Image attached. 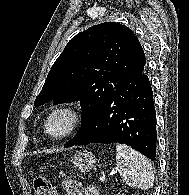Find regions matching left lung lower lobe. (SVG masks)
<instances>
[{
  "label": "left lung lower lobe",
  "mask_w": 189,
  "mask_h": 195,
  "mask_svg": "<svg viewBox=\"0 0 189 195\" xmlns=\"http://www.w3.org/2000/svg\"><path fill=\"white\" fill-rule=\"evenodd\" d=\"M156 112L153 92L145 72L117 88L84 122L65 147L90 143H120L152 161L156 156Z\"/></svg>",
  "instance_id": "0a47b994"
}]
</instances>
